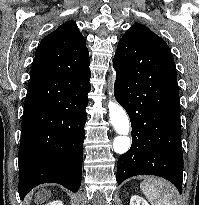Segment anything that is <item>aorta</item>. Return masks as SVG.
<instances>
[{"label": "aorta", "instance_id": "obj_1", "mask_svg": "<svg viewBox=\"0 0 199 205\" xmlns=\"http://www.w3.org/2000/svg\"><path fill=\"white\" fill-rule=\"evenodd\" d=\"M114 82V77H112V84ZM112 95V92H109ZM109 117L110 122L113 125L115 131L119 134L113 141L114 152L118 154H124L128 151L131 145V140L129 137L130 123L128 116L124 109L116 102L109 101Z\"/></svg>", "mask_w": 199, "mask_h": 205}]
</instances>
